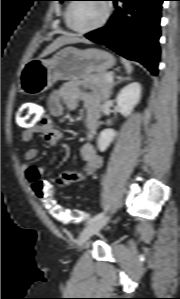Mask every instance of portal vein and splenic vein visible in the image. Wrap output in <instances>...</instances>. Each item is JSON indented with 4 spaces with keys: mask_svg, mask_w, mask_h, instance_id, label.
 I'll use <instances>...</instances> for the list:
<instances>
[{
    "mask_svg": "<svg viewBox=\"0 0 180 299\" xmlns=\"http://www.w3.org/2000/svg\"><path fill=\"white\" fill-rule=\"evenodd\" d=\"M107 80H108L109 82H113V75H112V74H109V75L107 76Z\"/></svg>",
    "mask_w": 180,
    "mask_h": 299,
    "instance_id": "18ae733b",
    "label": "portal vein and splenic vein"
}]
</instances>
